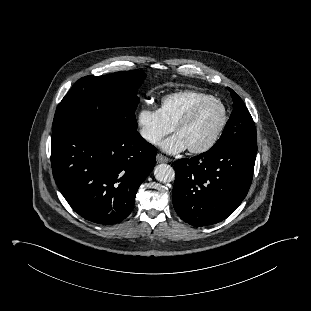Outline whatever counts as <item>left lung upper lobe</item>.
Instances as JSON below:
<instances>
[{"instance_id":"obj_1","label":"left lung upper lobe","mask_w":311,"mask_h":311,"mask_svg":"<svg viewBox=\"0 0 311 311\" xmlns=\"http://www.w3.org/2000/svg\"><path fill=\"white\" fill-rule=\"evenodd\" d=\"M233 111L224 131L212 149L223 148L235 142H256L254 121L242 99L230 88Z\"/></svg>"}]
</instances>
